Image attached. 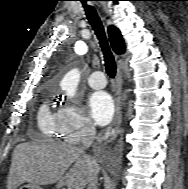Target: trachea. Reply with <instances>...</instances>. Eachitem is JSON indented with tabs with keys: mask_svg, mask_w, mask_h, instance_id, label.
Segmentation results:
<instances>
[{
	"mask_svg": "<svg viewBox=\"0 0 188 189\" xmlns=\"http://www.w3.org/2000/svg\"><path fill=\"white\" fill-rule=\"evenodd\" d=\"M80 1L83 3L87 18L99 39L100 47L104 55L106 72L111 78H114L116 74V63H115L114 56L108 45V41L105 35L102 22L100 18L98 17L97 12L94 9V7L88 6L86 4L87 0H80Z\"/></svg>",
	"mask_w": 188,
	"mask_h": 189,
	"instance_id": "obj_1",
	"label": "trachea"
}]
</instances>
